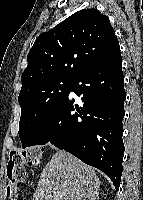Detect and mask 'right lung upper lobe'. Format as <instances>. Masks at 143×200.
Here are the masks:
<instances>
[{
    "label": "right lung upper lobe",
    "instance_id": "1",
    "mask_svg": "<svg viewBox=\"0 0 143 200\" xmlns=\"http://www.w3.org/2000/svg\"><path fill=\"white\" fill-rule=\"evenodd\" d=\"M118 47L107 16L96 9L80 10L35 40L21 77V90L50 79H74Z\"/></svg>",
    "mask_w": 143,
    "mask_h": 200
}]
</instances>
